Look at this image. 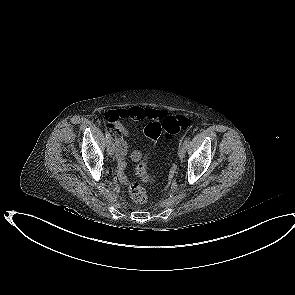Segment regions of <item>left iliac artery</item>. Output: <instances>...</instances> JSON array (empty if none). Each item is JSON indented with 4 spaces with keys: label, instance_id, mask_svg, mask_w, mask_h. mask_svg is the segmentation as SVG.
I'll return each mask as SVG.
<instances>
[{
    "label": "left iliac artery",
    "instance_id": "left-iliac-artery-1",
    "mask_svg": "<svg viewBox=\"0 0 295 295\" xmlns=\"http://www.w3.org/2000/svg\"><path fill=\"white\" fill-rule=\"evenodd\" d=\"M189 142H190V138L187 137V138L184 140L183 145L188 146Z\"/></svg>",
    "mask_w": 295,
    "mask_h": 295
}]
</instances>
